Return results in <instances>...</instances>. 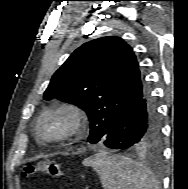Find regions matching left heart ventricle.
<instances>
[{"label":"left heart ventricle","mask_w":188,"mask_h":189,"mask_svg":"<svg viewBox=\"0 0 188 189\" xmlns=\"http://www.w3.org/2000/svg\"><path fill=\"white\" fill-rule=\"evenodd\" d=\"M65 126V122L60 116H50L47 117L40 125V132L45 136H54L59 133L63 127Z\"/></svg>","instance_id":"b2bd125f"}]
</instances>
